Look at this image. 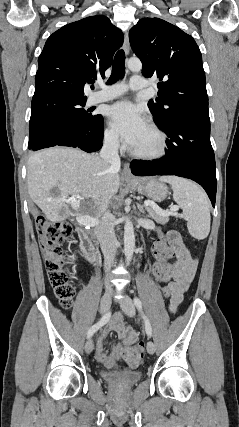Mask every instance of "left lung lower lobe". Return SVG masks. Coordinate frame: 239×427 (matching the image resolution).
<instances>
[{"label": "left lung lower lobe", "mask_w": 239, "mask_h": 427, "mask_svg": "<svg viewBox=\"0 0 239 427\" xmlns=\"http://www.w3.org/2000/svg\"><path fill=\"white\" fill-rule=\"evenodd\" d=\"M157 126L168 136L165 156L153 161L134 160L131 172L136 176L176 175L192 179L205 189L214 207L217 181L210 120L177 116Z\"/></svg>", "instance_id": "0a47b994"}]
</instances>
